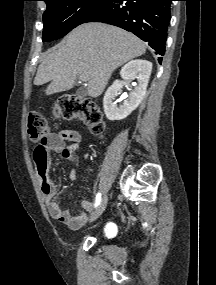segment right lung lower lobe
Wrapping results in <instances>:
<instances>
[{
	"mask_svg": "<svg viewBox=\"0 0 216 285\" xmlns=\"http://www.w3.org/2000/svg\"><path fill=\"white\" fill-rule=\"evenodd\" d=\"M172 1L108 0L83 23L104 22L121 27L146 41L157 54L163 55Z\"/></svg>",
	"mask_w": 216,
	"mask_h": 285,
	"instance_id": "98d812e1",
	"label": "right lung lower lobe"
}]
</instances>
